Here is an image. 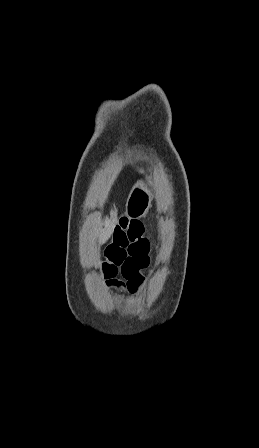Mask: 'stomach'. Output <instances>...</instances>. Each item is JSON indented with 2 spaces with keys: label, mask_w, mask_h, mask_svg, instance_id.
<instances>
[{
  "label": "stomach",
  "mask_w": 259,
  "mask_h": 448,
  "mask_svg": "<svg viewBox=\"0 0 259 448\" xmlns=\"http://www.w3.org/2000/svg\"><path fill=\"white\" fill-rule=\"evenodd\" d=\"M152 202L151 190L144 182L134 184L126 204V216L130 220H138L146 216Z\"/></svg>",
  "instance_id": "1"
}]
</instances>
